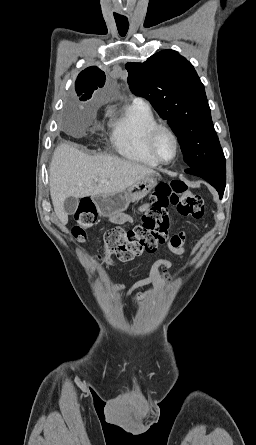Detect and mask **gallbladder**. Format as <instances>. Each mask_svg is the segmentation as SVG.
Returning a JSON list of instances; mask_svg holds the SVG:
<instances>
[{"mask_svg":"<svg viewBox=\"0 0 256 445\" xmlns=\"http://www.w3.org/2000/svg\"><path fill=\"white\" fill-rule=\"evenodd\" d=\"M64 210L68 215H72L75 213L78 207V199L75 197H67L64 200Z\"/></svg>","mask_w":256,"mask_h":445,"instance_id":"gallbladder-1","label":"gallbladder"}]
</instances>
